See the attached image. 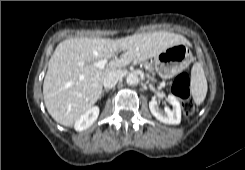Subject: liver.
Segmentation results:
<instances>
[{
    "label": "liver",
    "instance_id": "1",
    "mask_svg": "<svg viewBox=\"0 0 245 170\" xmlns=\"http://www.w3.org/2000/svg\"><path fill=\"white\" fill-rule=\"evenodd\" d=\"M177 44H190L180 34L167 31L134 34L120 39L69 38L51 56L43 83L45 106L59 124L71 127L98 101L103 80L132 61L155 57ZM123 51L122 57L115 54ZM113 58L104 68L94 64Z\"/></svg>",
    "mask_w": 245,
    "mask_h": 170
}]
</instances>
